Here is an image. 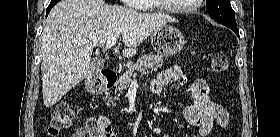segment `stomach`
<instances>
[{
  "instance_id": "stomach-1",
  "label": "stomach",
  "mask_w": 280,
  "mask_h": 137,
  "mask_svg": "<svg viewBox=\"0 0 280 137\" xmlns=\"http://www.w3.org/2000/svg\"><path fill=\"white\" fill-rule=\"evenodd\" d=\"M153 49L162 56L177 54L184 46L182 33L171 25H165L150 35Z\"/></svg>"
}]
</instances>
